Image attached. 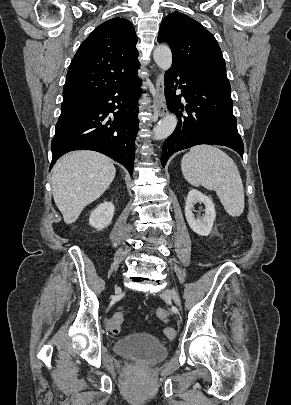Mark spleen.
Masks as SVG:
<instances>
[{
    "label": "spleen",
    "mask_w": 291,
    "mask_h": 405,
    "mask_svg": "<svg viewBox=\"0 0 291 405\" xmlns=\"http://www.w3.org/2000/svg\"><path fill=\"white\" fill-rule=\"evenodd\" d=\"M185 179L193 186L216 191L225 211L232 217L244 211V189L232 158L217 147L196 146L181 161Z\"/></svg>",
    "instance_id": "obj_1"
}]
</instances>
